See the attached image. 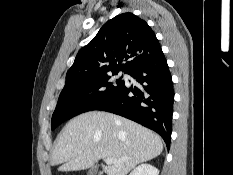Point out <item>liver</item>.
<instances>
[{"label":"liver","instance_id":"1","mask_svg":"<svg viewBox=\"0 0 233 175\" xmlns=\"http://www.w3.org/2000/svg\"><path fill=\"white\" fill-rule=\"evenodd\" d=\"M163 150L159 135L124 117L92 111L70 120L52 155L59 171H80L104 158L118 161L102 166L107 175H127L135 166Z\"/></svg>","mask_w":233,"mask_h":175}]
</instances>
